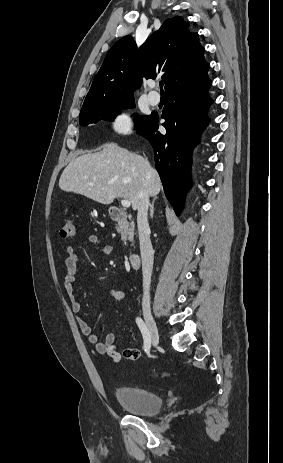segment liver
<instances>
[{
    "instance_id": "obj_1",
    "label": "liver",
    "mask_w": 283,
    "mask_h": 463,
    "mask_svg": "<svg viewBox=\"0 0 283 463\" xmlns=\"http://www.w3.org/2000/svg\"><path fill=\"white\" fill-rule=\"evenodd\" d=\"M59 187L107 205L121 197L136 210L141 192L156 196L162 185L157 171L141 155L107 143L101 151L71 161L60 177Z\"/></svg>"
}]
</instances>
